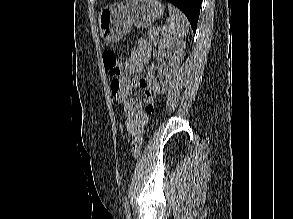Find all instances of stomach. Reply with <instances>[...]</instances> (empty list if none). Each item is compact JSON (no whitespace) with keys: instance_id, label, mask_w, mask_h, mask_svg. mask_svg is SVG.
I'll list each match as a JSON object with an SVG mask.
<instances>
[{"instance_id":"stomach-1","label":"stomach","mask_w":293,"mask_h":219,"mask_svg":"<svg viewBox=\"0 0 293 219\" xmlns=\"http://www.w3.org/2000/svg\"><path fill=\"white\" fill-rule=\"evenodd\" d=\"M163 13L164 6L157 0H125L107 5L98 15L100 35L106 42H118L133 25L149 27Z\"/></svg>"}]
</instances>
